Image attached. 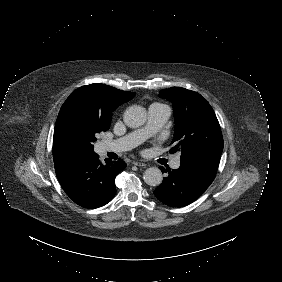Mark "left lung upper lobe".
I'll return each instance as SVG.
<instances>
[{
  "mask_svg": "<svg viewBox=\"0 0 282 282\" xmlns=\"http://www.w3.org/2000/svg\"><path fill=\"white\" fill-rule=\"evenodd\" d=\"M161 98L173 103L175 146L181 159L198 152L221 154L223 137L216 115L210 104L197 92L181 87H171L159 92Z\"/></svg>",
  "mask_w": 282,
  "mask_h": 282,
  "instance_id": "obj_1",
  "label": "left lung upper lobe"
}]
</instances>
